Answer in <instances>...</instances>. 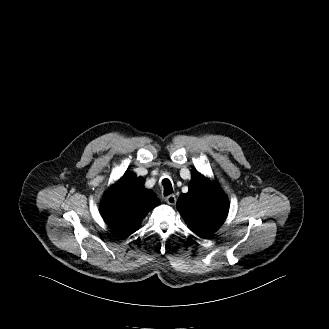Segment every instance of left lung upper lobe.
<instances>
[{
    "instance_id": "left-lung-upper-lobe-1",
    "label": "left lung upper lobe",
    "mask_w": 329,
    "mask_h": 329,
    "mask_svg": "<svg viewBox=\"0 0 329 329\" xmlns=\"http://www.w3.org/2000/svg\"><path fill=\"white\" fill-rule=\"evenodd\" d=\"M177 209L189 229L199 237L208 238L225 221L229 203L215 182L194 171L189 191L179 197Z\"/></svg>"
}]
</instances>
